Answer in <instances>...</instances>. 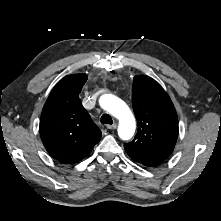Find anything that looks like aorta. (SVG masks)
<instances>
[{
	"instance_id": "obj_1",
	"label": "aorta",
	"mask_w": 221,
	"mask_h": 221,
	"mask_svg": "<svg viewBox=\"0 0 221 221\" xmlns=\"http://www.w3.org/2000/svg\"><path fill=\"white\" fill-rule=\"evenodd\" d=\"M100 106L119 120L118 135L122 140L130 139L136 128L135 118L127 104L118 97L104 94L99 100Z\"/></svg>"
}]
</instances>
